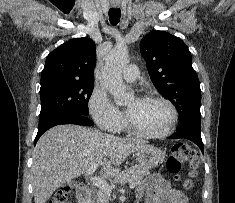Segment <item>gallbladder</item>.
Returning <instances> with one entry per match:
<instances>
[{"label": "gallbladder", "mask_w": 235, "mask_h": 203, "mask_svg": "<svg viewBox=\"0 0 235 203\" xmlns=\"http://www.w3.org/2000/svg\"><path fill=\"white\" fill-rule=\"evenodd\" d=\"M69 185L72 186V187H75V188H77L79 186V184L76 181H74V180H71L69 182Z\"/></svg>", "instance_id": "gallbladder-1"}]
</instances>
